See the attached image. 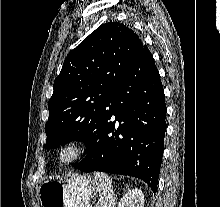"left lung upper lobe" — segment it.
Returning <instances> with one entry per match:
<instances>
[{
  "mask_svg": "<svg viewBox=\"0 0 220 207\" xmlns=\"http://www.w3.org/2000/svg\"><path fill=\"white\" fill-rule=\"evenodd\" d=\"M141 39L119 22L102 24L66 57L48 102L45 149L86 142Z\"/></svg>",
  "mask_w": 220,
  "mask_h": 207,
  "instance_id": "obj_1",
  "label": "left lung upper lobe"
}]
</instances>
